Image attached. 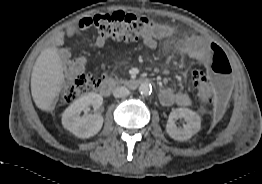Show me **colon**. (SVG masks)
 Segmentation results:
<instances>
[{"label": "colon", "mask_w": 262, "mask_h": 184, "mask_svg": "<svg viewBox=\"0 0 262 184\" xmlns=\"http://www.w3.org/2000/svg\"><path fill=\"white\" fill-rule=\"evenodd\" d=\"M78 25L80 28L95 27L99 35L124 42L135 41L157 26L151 18L122 11L84 17ZM209 48V68L213 73L212 78L208 80L201 71H195L192 81L201 109H213L215 118H220L230 98L232 70L226 54L218 45L210 44ZM102 78L93 73L78 75L63 88L62 101L71 103L92 92L100 87Z\"/></svg>", "instance_id": "colon-1"}]
</instances>
